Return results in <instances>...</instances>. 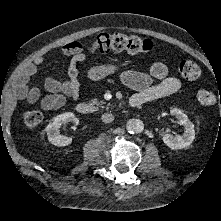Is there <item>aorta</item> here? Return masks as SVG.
Instances as JSON below:
<instances>
[{
	"label": "aorta",
	"instance_id": "1",
	"mask_svg": "<svg viewBox=\"0 0 221 221\" xmlns=\"http://www.w3.org/2000/svg\"><path fill=\"white\" fill-rule=\"evenodd\" d=\"M126 129L129 133H141L144 129V123L140 119H129L126 123Z\"/></svg>",
	"mask_w": 221,
	"mask_h": 221
}]
</instances>
